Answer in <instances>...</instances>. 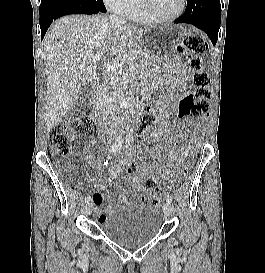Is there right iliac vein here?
Masks as SVG:
<instances>
[{
	"label": "right iliac vein",
	"instance_id": "63e3f726",
	"mask_svg": "<svg viewBox=\"0 0 265 273\" xmlns=\"http://www.w3.org/2000/svg\"><path fill=\"white\" fill-rule=\"evenodd\" d=\"M86 214L87 215H90L91 213H92V209H93V205H92V203H88L87 205H86Z\"/></svg>",
	"mask_w": 265,
	"mask_h": 273
}]
</instances>
